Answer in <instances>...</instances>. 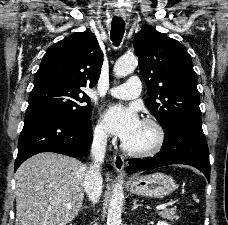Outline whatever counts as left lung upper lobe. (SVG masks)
Masks as SVG:
<instances>
[{
	"label": "left lung upper lobe",
	"instance_id": "left-lung-upper-lobe-1",
	"mask_svg": "<svg viewBox=\"0 0 228 225\" xmlns=\"http://www.w3.org/2000/svg\"><path fill=\"white\" fill-rule=\"evenodd\" d=\"M133 44L147 80L150 97L145 104L162 127L179 122L201 125L197 76L186 48L152 26L144 27Z\"/></svg>",
	"mask_w": 228,
	"mask_h": 225
}]
</instances>
